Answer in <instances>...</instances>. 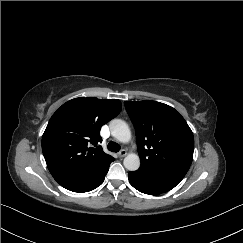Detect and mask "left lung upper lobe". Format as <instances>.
I'll use <instances>...</instances> for the list:
<instances>
[{
    "label": "left lung upper lobe",
    "mask_w": 243,
    "mask_h": 243,
    "mask_svg": "<svg viewBox=\"0 0 243 243\" xmlns=\"http://www.w3.org/2000/svg\"><path fill=\"white\" fill-rule=\"evenodd\" d=\"M124 105L136 130L141 158L138 170L191 165L194 137L178 111L150 100L125 101Z\"/></svg>",
    "instance_id": "5c2ea615"
}]
</instances>
